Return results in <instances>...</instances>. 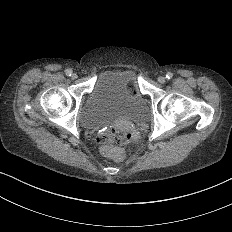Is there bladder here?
Segmentation results:
<instances>
[{
	"label": "bladder",
	"instance_id": "obj_1",
	"mask_svg": "<svg viewBox=\"0 0 232 232\" xmlns=\"http://www.w3.org/2000/svg\"><path fill=\"white\" fill-rule=\"evenodd\" d=\"M149 108L144 97L134 88V75L129 70L101 73L79 111L80 124L97 130L121 121L144 122Z\"/></svg>",
	"mask_w": 232,
	"mask_h": 232
}]
</instances>
